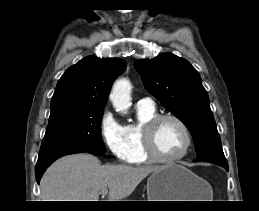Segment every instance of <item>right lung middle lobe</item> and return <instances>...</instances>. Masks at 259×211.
<instances>
[{
  "label": "right lung middle lobe",
  "instance_id": "right-lung-middle-lobe-1",
  "mask_svg": "<svg viewBox=\"0 0 259 211\" xmlns=\"http://www.w3.org/2000/svg\"><path fill=\"white\" fill-rule=\"evenodd\" d=\"M103 112L104 109L77 108L50 117L39 157L67 148L105 152L101 138Z\"/></svg>",
  "mask_w": 259,
  "mask_h": 211
}]
</instances>
